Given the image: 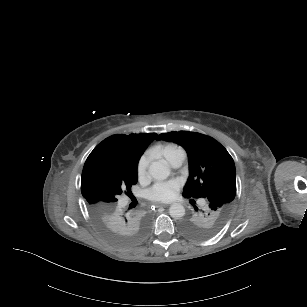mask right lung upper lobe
Listing matches in <instances>:
<instances>
[{"label": "right lung upper lobe", "instance_id": "cb5924a9", "mask_svg": "<svg viewBox=\"0 0 307 307\" xmlns=\"http://www.w3.org/2000/svg\"><path fill=\"white\" fill-rule=\"evenodd\" d=\"M156 136V133L112 135L94 148L84 164L82 195L94 222L108 234L133 240L147 231V214L136 200H127L125 194L137 183L138 160Z\"/></svg>", "mask_w": 307, "mask_h": 307}]
</instances>
